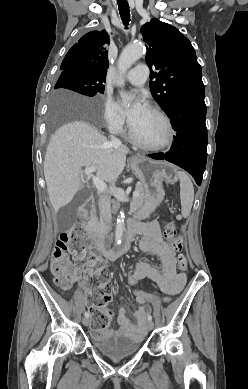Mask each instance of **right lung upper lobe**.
Listing matches in <instances>:
<instances>
[{
  "mask_svg": "<svg viewBox=\"0 0 248 389\" xmlns=\"http://www.w3.org/2000/svg\"><path fill=\"white\" fill-rule=\"evenodd\" d=\"M109 43V35L105 30L85 34L68 51L60 69L76 68L106 79L109 62L105 45Z\"/></svg>",
  "mask_w": 248,
  "mask_h": 389,
  "instance_id": "right-lung-upper-lobe-1",
  "label": "right lung upper lobe"
}]
</instances>
